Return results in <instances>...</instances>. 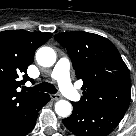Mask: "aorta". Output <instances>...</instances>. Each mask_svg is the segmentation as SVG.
I'll use <instances>...</instances> for the list:
<instances>
[{"label": "aorta", "instance_id": "aorta-1", "mask_svg": "<svg viewBox=\"0 0 136 136\" xmlns=\"http://www.w3.org/2000/svg\"><path fill=\"white\" fill-rule=\"evenodd\" d=\"M36 60L43 67H51L56 62V53L50 47H41L36 52ZM55 112L61 117H67L72 112L70 102L60 100L55 104Z\"/></svg>", "mask_w": 136, "mask_h": 136}]
</instances>
